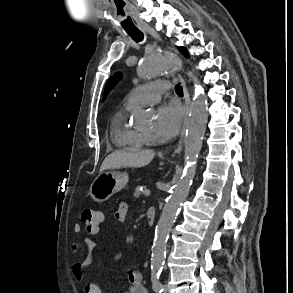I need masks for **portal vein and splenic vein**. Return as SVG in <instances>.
<instances>
[{"label":"portal vein and splenic vein","instance_id":"portal-vein-and-splenic-vein-1","mask_svg":"<svg viewBox=\"0 0 293 293\" xmlns=\"http://www.w3.org/2000/svg\"><path fill=\"white\" fill-rule=\"evenodd\" d=\"M144 195H145L146 197L150 196V190H145V191H144Z\"/></svg>","mask_w":293,"mask_h":293}]
</instances>
